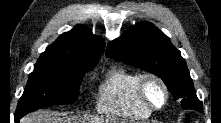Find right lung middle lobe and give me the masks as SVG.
I'll list each match as a JSON object with an SVG mask.
<instances>
[{
	"label": "right lung middle lobe",
	"mask_w": 221,
	"mask_h": 123,
	"mask_svg": "<svg viewBox=\"0 0 221 123\" xmlns=\"http://www.w3.org/2000/svg\"><path fill=\"white\" fill-rule=\"evenodd\" d=\"M96 63L81 65L71 62L37 61L19 100L16 112L27 114L51 105L77 100L85 72Z\"/></svg>",
	"instance_id": "dd1d6c3e"
}]
</instances>
